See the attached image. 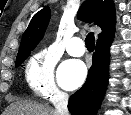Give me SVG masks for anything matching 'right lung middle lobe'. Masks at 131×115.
I'll use <instances>...</instances> for the list:
<instances>
[{
  "instance_id": "1",
  "label": "right lung middle lobe",
  "mask_w": 131,
  "mask_h": 115,
  "mask_svg": "<svg viewBox=\"0 0 131 115\" xmlns=\"http://www.w3.org/2000/svg\"><path fill=\"white\" fill-rule=\"evenodd\" d=\"M33 49H29L27 50L26 52H24L22 55L18 56L16 58V63H15V67H19L24 61L25 59L30 55V52L32 51Z\"/></svg>"
}]
</instances>
